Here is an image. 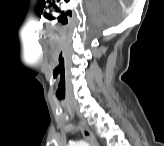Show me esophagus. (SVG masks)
Wrapping results in <instances>:
<instances>
[{
	"instance_id": "1",
	"label": "esophagus",
	"mask_w": 164,
	"mask_h": 146,
	"mask_svg": "<svg viewBox=\"0 0 164 146\" xmlns=\"http://www.w3.org/2000/svg\"><path fill=\"white\" fill-rule=\"evenodd\" d=\"M79 128L85 137V139L92 144V146H98L93 132L89 129L85 122H79Z\"/></svg>"
}]
</instances>
